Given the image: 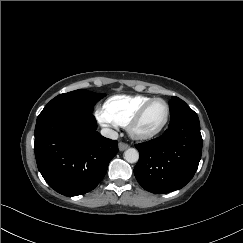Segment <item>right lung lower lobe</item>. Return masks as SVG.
I'll return each instance as SVG.
<instances>
[{
  "label": "right lung lower lobe",
  "instance_id": "98d812e1",
  "mask_svg": "<svg viewBox=\"0 0 243 243\" xmlns=\"http://www.w3.org/2000/svg\"><path fill=\"white\" fill-rule=\"evenodd\" d=\"M92 114L55 109L39 115L35 157L45 181L58 193L77 196L93 190L117 154V141L96 131Z\"/></svg>",
  "mask_w": 243,
  "mask_h": 243
}]
</instances>
